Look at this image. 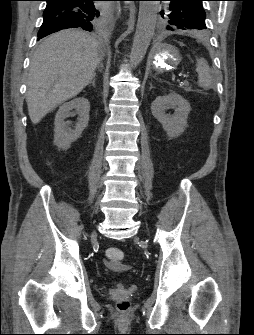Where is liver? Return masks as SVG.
I'll list each match as a JSON object with an SVG mask.
<instances>
[{
    "mask_svg": "<svg viewBox=\"0 0 254 335\" xmlns=\"http://www.w3.org/2000/svg\"><path fill=\"white\" fill-rule=\"evenodd\" d=\"M106 47L89 34L67 29L46 38L31 60L26 102L33 124L77 96L92 80Z\"/></svg>",
    "mask_w": 254,
    "mask_h": 335,
    "instance_id": "obj_1",
    "label": "liver"
}]
</instances>
